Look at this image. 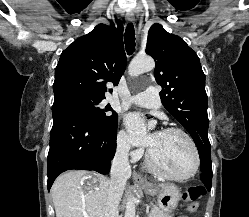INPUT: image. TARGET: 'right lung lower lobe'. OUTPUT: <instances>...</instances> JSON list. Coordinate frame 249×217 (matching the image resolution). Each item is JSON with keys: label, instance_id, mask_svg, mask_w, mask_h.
Instances as JSON below:
<instances>
[{"label": "right lung lower lobe", "instance_id": "98d812e1", "mask_svg": "<svg viewBox=\"0 0 249 217\" xmlns=\"http://www.w3.org/2000/svg\"><path fill=\"white\" fill-rule=\"evenodd\" d=\"M52 114L48 190L56 177L67 170H95L107 174L116 150L117 128H98L66 105H53Z\"/></svg>", "mask_w": 249, "mask_h": 217}]
</instances>
